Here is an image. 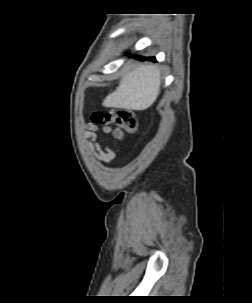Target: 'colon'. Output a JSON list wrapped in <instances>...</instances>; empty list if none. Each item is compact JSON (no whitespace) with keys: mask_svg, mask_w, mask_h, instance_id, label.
<instances>
[{"mask_svg":"<svg viewBox=\"0 0 252 303\" xmlns=\"http://www.w3.org/2000/svg\"><path fill=\"white\" fill-rule=\"evenodd\" d=\"M92 122L96 125H114L128 134L138 132V120L135 113L127 109L96 111L92 115Z\"/></svg>","mask_w":252,"mask_h":303,"instance_id":"1","label":"colon"}]
</instances>
